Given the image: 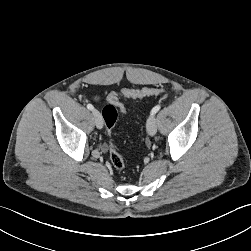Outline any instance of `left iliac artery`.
Listing matches in <instances>:
<instances>
[{
  "instance_id": "left-iliac-artery-1",
  "label": "left iliac artery",
  "mask_w": 251,
  "mask_h": 251,
  "mask_svg": "<svg viewBox=\"0 0 251 251\" xmlns=\"http://www.w3.org/2000/svg\"><path fill=\"white\" fill-rule=\"evenodd\" d=\"M161 106L157 105L151 110V115L156 114L160 110Z\"/></svg>"
}]
</instances>
